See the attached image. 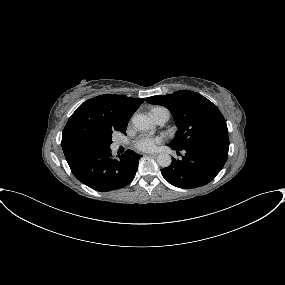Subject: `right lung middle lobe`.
Wrapping results in <instances>:
<instances>
[{"instance_id": "obj_1", "label": "right lung middle lobe", "mask_w": 285, "mask_h": 285, "mask_svg": "<svg viewBox=\"0 0 285 285\" xmlns=\"http://www.w3.org/2000/svg\"><path fill=\"white\" fill-rule=\"evenodd\" d=\"M112 138V137H111ZM111 138L110 139H108V141L104 144V148H109L110 147V144L112 143V140H111Z\"/></svg>"}]
</instances>
